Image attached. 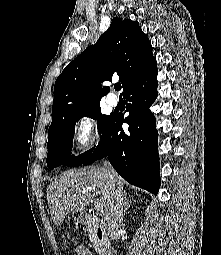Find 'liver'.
I'll return each mask as SVG.
<instances>
[{
    "label": "liver",
    "instance_id": "1",
    "mask_svg": "<svg viewBox=\"0 0 221 255\" xmlns=\"http://www.w3.org/2000/svg\"><path fill=\"white\" fill-rule=\"evenodd\" d=\"M125 180L115 172L109 180L103 167L88 166L72 169L55 177L47 189V202L52 220L60 226L69 212L85 210L95 192L106 210L116 186L123 188Z\"/></svg>",
    "mask_w": 221,
    "mask_h": 255
}]
</instances>
